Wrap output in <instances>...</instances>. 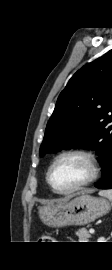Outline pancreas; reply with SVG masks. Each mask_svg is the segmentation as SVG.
I'll return each mask as SVG.
<instances>
[{
	"label": "pancreas",
	"instance_id": "1",
	"mask_svg": "<svg viewBox=\"0 0 112 270\" xmlns=\"http://www.w3.org/2000/svg\"><path fill=\"white\" fill-rule=\"evenodd\" d=\"M76 234L79 238V242H89V238L91 237L90 233L85 228L79 229Z\"/></svg>",
	"mask_w": 112,
	"mask_h": 270
}]
</instances>
